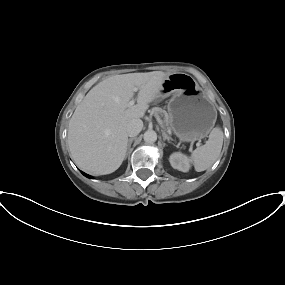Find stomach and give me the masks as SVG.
<instances>
[{
  "instance_id": "0dacf381",
  "label": "stomach",
  "mask_w": 285,
  "mask_h": 285,
  "mask_svg": "<svg viewBox=\"0 0 285 285\" xmlns=\"http://www.w3.org/2000/svg\"><path fill=\"white\" fill-rule=\"evenodd\" d=\"M169 96V122L174 134L183 142L206 137L216 122L217 111L197 82L186 73H172L156 99Z\"/></svg>"
}]
</instances>
